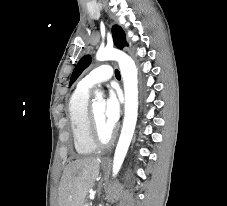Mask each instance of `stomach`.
Segmentation results:
<instances>
[{"instance_id": "obj_1", "label": "stomach", "mask_w": 227, "mask_h": 206, "mask_svg": "<svg viewBox=\"0 0 227 206\" xmlns=\"http://www.w3.org/2000/svg\"><path fill=\"white\" fill-rule=\"evenodd\" d=\"M102 167H103V169H105L106 168L105 164H102Z\"/></svg>"}]
</instances>
